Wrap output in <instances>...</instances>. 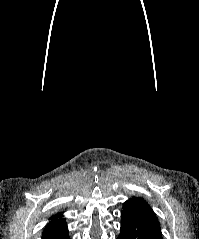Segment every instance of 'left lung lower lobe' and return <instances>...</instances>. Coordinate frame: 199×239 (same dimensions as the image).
<instances>
[{"instance_id": "1", "label": "left lung lower lobe", "mask_w": 199, "mask_h": 239, "mask_svg": "<svg viewBox=\"0 0 199 239\" xmlns=\"http://www.w3.org/2000/svg\"><path fill=\"white\" fill-rule=\"evenodd\" d=\"M117 239H163L161 230L151 221L130 211L121 212Z\"/></svg>"}]
</instances>
